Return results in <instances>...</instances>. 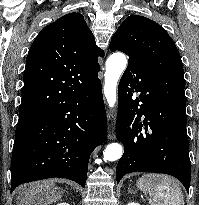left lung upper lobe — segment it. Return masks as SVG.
Here are the masks:
<instances>
[{
    "mask_svg": "<svg viewBox=\"0 0 199 205\" xmlns=\"http://www.w3.org/2000/svg\"><path fill=\"white\" fill-rule=\"evenodd\" d=\"M110 50L126 53L165 91L185 98L179 51L173 39L156 22L139 15L127 17L111 38Z\"/></svg>",
    "mask_w": 199,
    "mask_h": 205,
    "instance_id": "obj_1",
    "label": "left lung upper lobe"
}]
</instances>
